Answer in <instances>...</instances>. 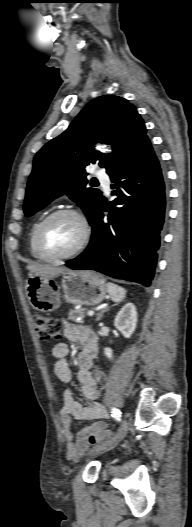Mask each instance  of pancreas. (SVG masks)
I'll return each mask as SVG.
<instances>
[{
	"label": "pancreas",
	"mask_w": 192,
	"mask_h": 527,
	"mask_svg": "<svg viewBox=\"0 0 192 527\" xmlns=\"http://www.w3.org/2000/svg\"><path fill=\"white\" fill-rule=\"evenodd\" d=\"M86 311H87L86 308H81V309H77V310H70L69 311L68 320H71V321L77 322V323H84V317H85V312Z\"/></svg>",
	"instance_id": "obj_1"
}]
</instances>
